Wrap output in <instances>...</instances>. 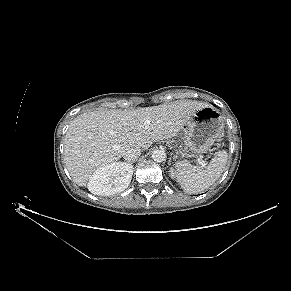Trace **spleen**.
Listing matches in <instances>:
<instances>
[{
  "mask_svg": "<svg viewBox=\"0 0 291 291\" xmlns=\"http://www.w3.org/2000/svg\"><path fill=\"white\" fill-rule=\"evenodd\" d=\"M228 159L225 150L216 152L206 168L192 166L188 161L175 165L178 180L185 193L198 194L212 186L224 171Z\"/></svg>",
  "mask_w": 291,
  "mask_h": 291,
  "instance_id": "1",
  "label": "spleen"
}]
</instances>
